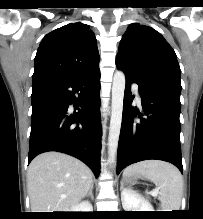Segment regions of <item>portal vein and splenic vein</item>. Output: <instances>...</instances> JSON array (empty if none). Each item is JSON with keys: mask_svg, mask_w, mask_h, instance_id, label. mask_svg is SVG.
Wrapping results in <instances>:
<instances>
[{"mask_svg": "<svg viewBox=\"0 0 203 219\" xmlns=\"http://www.w3.org/2000/svg\"><path fill=\"white\" fill-rule=\"evenodd\" d=\"M158 194V190L156 189V190H154L152 193H151V195H153V196H156Z\"/></svg>", "mask_w": 203, "mask_h": 219, "instance_id": "obj_1", "label": "portal vein and splenic vein"}]
</instances>
